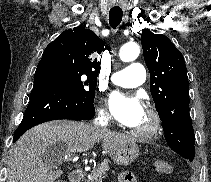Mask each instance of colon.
Segmentation results:
<instances>
[{
  "label": "colon",
  "mask_w": 211,
  "mask_h": 182,
  "mask_svg": "<svg viewBox=\"0 0 211 182\" xmlns=\"http://www.w3.org/2000/svg\"><path fill=\"white\" fill-rule=\"evenodd\" d=\"M153 169H154V172L158 175H168V174L172 173L173 166L169 162L158 160V161L154 162ZM56 182H65V181L59 180Z\"/></svg>",
  "instance_id": "5ec220e1"
}]
</instances>
